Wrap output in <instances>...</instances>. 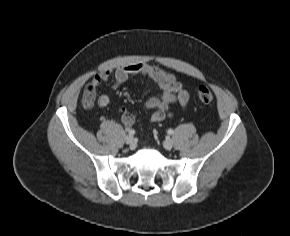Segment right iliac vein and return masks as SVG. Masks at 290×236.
<instances>
[{
	"label": "right iliac vein",
	"instance_id": "63e3f726",
	"mask_svg": "<svg viewBox=\"0 0 290 236\" xmlns=\"http://www.w3.org/2000/svg\"><path fill=\"white\" fill-rule=\"evenodd\" d=\"M125 142H126V144H128L130 146V148H134L136 145L135 139L132 135H127L125 137Z\"/></svg>",
	"mask_w": 290,
	"mask_h": 236
}]
</instances>
